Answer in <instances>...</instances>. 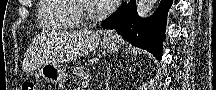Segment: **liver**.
Returning a JSON list of instances; mask_svg holds the SVG:
<instances>
[{
    "instance_id": "obj_1",
    "label": "liver",
    "mask_w": 216,
    "mask_h": 90,
    "mask_svg": "<svg viewBox=\"0 0 216 90\" xmlns=\"http://www.w3.org/2000/svg\"><path fill=\"white\" fill-rule=\"evenodd\" d=\"M99 42L100 36L98 32H93V30H71V32H65L68 60H77L84 54L93 52Z\"/></svg>"
}]
</instances>
